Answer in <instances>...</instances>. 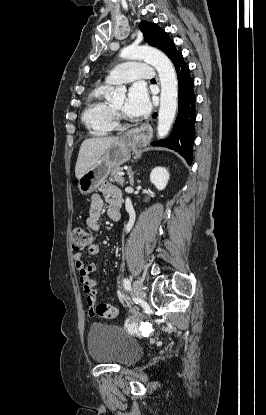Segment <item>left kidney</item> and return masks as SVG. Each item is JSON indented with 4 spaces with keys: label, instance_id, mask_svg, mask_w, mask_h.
Instances as JSON below:
<instances>
[{
    "label": "left kidney",
    "instance_id": "obj_1",
    "mask_svg": "<svg viewBox=\"0 0 266 415\" xmlns=\"http://www.w3.org/2000/svg\"><path fill=\"white\" fill-rule=\"evenodd\" d=\"M169 172L164 167H156L150 174V181L158 190H163L168 184Z\"/></svg>",
    "mask_w": 266,
    "mask_h": 415
}]
</instances>
